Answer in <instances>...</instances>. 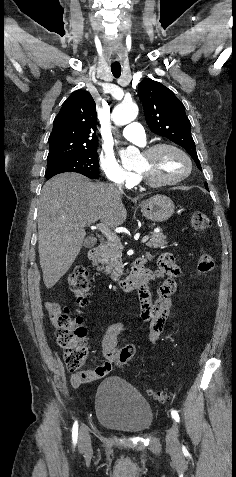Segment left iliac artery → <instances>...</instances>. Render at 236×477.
<instances>
[{"label":"left iliac artery","instance_id":"44dca946","mask_svg":"<svg viewBox=\"0 0 236 477\" xmlns=\"http://www.w3.org/2000/svg\"><path fill=\"white\" fill-rule=\"evenodd\" d=\"M171 415H172V418H173L176 422H179V421H180V417H179V414H178L177 411L171 410Z\"/></svg>","mask_w":236,"mask_h":477}]
</instances>
